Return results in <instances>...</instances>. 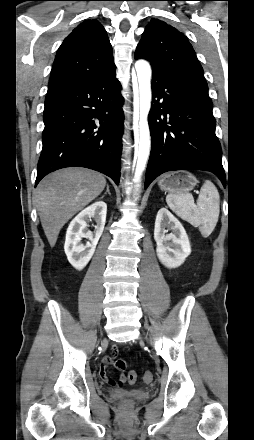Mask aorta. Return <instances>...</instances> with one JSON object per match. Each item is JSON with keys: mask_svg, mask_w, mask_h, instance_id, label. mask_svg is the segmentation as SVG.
<instances>
[{"mask_svg": "<svg viewBox=\"0 0 254 440\" xmlns=\"http://www.w3.org/2000/svg\"><path fill=\"white\" fill-rule=\"evenodd\" d=\"M138 78V97L134 100L133 128L135 132V182L140 187L141 175L145 170L150 154L151 138L148 126V114L151 108V67L146 60L135 63Z\"/></svg>", "mask_w": 254, "mask_h": 440, "instance_id": "obj_1", "label": "aorta"}]
</instances>
